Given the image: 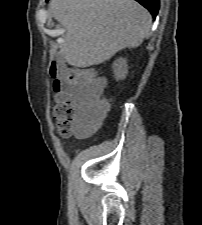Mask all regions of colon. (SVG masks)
<instances>
[{
  "mask_svg": "<svg viewBox=\"0 0 202 225\" xmlns=\"http://www.w3.org/2000/svg\"><path fill=\"white\" fill-rule=\"evenodd\" d=\"M48 75L53 80L52 88L56 99L53 116L59 135L69 138L84 134L86 125L75 123V109L69 100V93L73 92L78 96L90 115L99 116L107 109V102L102 93V81L84 70L64 71L54 60L48 67Z\"/></svg>",
  "mask_w": 202,
  "mask_h": 225,
  "instance_id": "colon-1",
  "label": "colon"
}]
</instances>
